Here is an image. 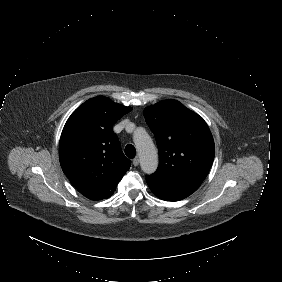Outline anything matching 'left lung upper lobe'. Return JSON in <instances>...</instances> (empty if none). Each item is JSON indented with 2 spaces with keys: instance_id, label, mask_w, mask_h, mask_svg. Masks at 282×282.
Returning a JSON list of instances; mask_svg holds the SVG:
<instances>
[{
  "instance_id": "1",
  "label": "left lung upper lobe",
  "mask_w": 282,
  "mask_h": 282,
  "mask_svg": "<svg viewBox=\"0 0 282 282\" xmlns=\"http://www.w3.org/2000/svg\"><path fill=\"white\" fill-rule=\"evenodd\" d=\"M144 117L159 151V166L154 175L202 183L215 155L206 122L176 100L146 107Z\"/></svg>"
}]
</instances>
